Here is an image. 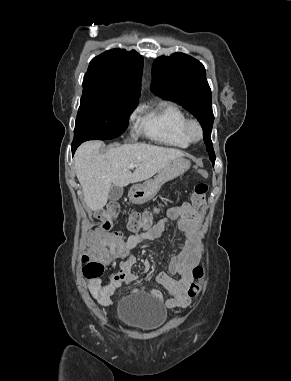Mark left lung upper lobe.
Wrapping results in <instances>:
<instances>
[{
	"label": "left lung upper lobe",
	"mask_w": 291,
	"mask_h": 381,
	"mask_svg": "<svg viewBox=\"0 0 291 381\" xmlns=\"http://www.w3.org/2000/svg\"><path fill=\"white\" fill-rule=\"evenodd\" d=\"M152 74V91L160 97L176 101L200 122L206 150L214 164L215 153L210 138L214 121L211 90L202 63L189 55L174 53L156 59Z\"/></svg>",
	"instance_id": "1"
}]
</instances>
